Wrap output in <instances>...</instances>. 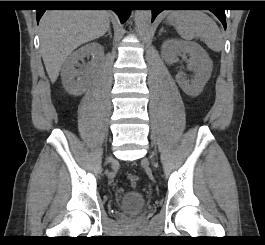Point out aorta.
Instances as JSON below:
<instances>
[{
  "label": "aorta",
  "mask_w": 265,
  "mask_h": 245,
  "mask_svg": "<svg viewBox=\"0 0 265 245\" xmlns=\"http://www.w3.org/2000/svg\"><path fill=\"white\" fill-rule=\"evenodd\" d=\"M151 10H135V23L140 33H145L151 23Z\"/></svg>",
  "instance_id": "obj_1"
}]
</instances>
